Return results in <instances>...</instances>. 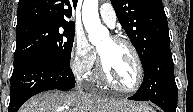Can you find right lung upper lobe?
I'll return each mask as SVG.
<instances>
[{"mask_svg":"<svg viewBox=\"0 0 193 112\" xmlns=\"http://www.w3.org/2000/svg\"><path fill=\"white\" fill-rule=\"evenodd\" d=\"M78 0H19L17 26L20 29L37 23H64L71 17V8Z\"/></svg>","mask_w":193,"mask_h":112,"instance_id":"obj_1","label":"right lung upper lobe"}]
</instances>
